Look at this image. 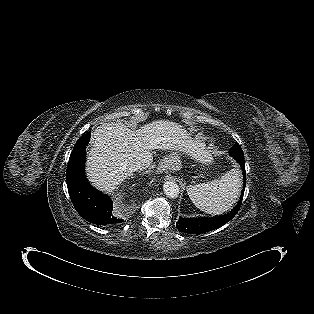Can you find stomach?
Here are the masks:
<instances>
[{
	"mask_svg": "<svg viewBox=\"0 0 314 314\" xmlns=\"http://www.w3.org/2000/svg\"><path fill=\"white\" fill-rule=\"evenodd\" d=\"M165 165L173 168L174 170H178L181 167L180 153L177 151L171 152L166 160L164 161Z\"/></svg>",
	"mask_w": 314,
	"mask_h": 314,
	"instance_id": "0dacf381",
	"label": "stomach"
}]
</instances>
